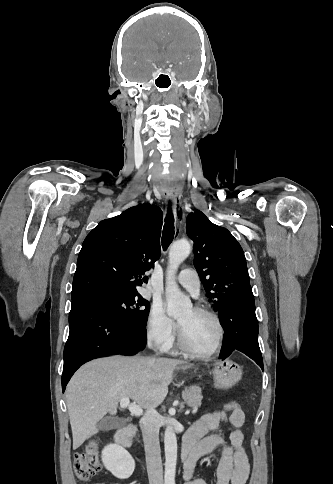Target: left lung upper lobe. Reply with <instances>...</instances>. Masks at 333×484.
<instances>
[{
    "label": "left lung upper lobe",
    "mask_w": 333,
    "mask_h": 484,
    "mask_svg": "<svg viewBox=\"0 0 333 484\" xmlns=\"http://www.w3.org/2000/svg\"><path fill=\"white\" fill-rule=\"evenodd\" d=\"M186 232L194 241V265L209 301L219 312L224 300L236 302L235 291L249 284L244 252L231 233L201 212L190 213Z\"/></svg>",
    "instance_id": "left-lung-upper-lobe-1"
}]
</instances>
